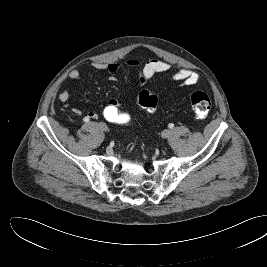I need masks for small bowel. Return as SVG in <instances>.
<instances>
[{"label": "small bowel", "mask_w": 267, "mask_h": 267, "mask_svg": "<svg viewBox=\"0 0 267 267\" xmlns=\"http://www.w3.org/2000/svg\"><path fill=\"white\" fill-rule=\"evenodd\" d=\"M125 66L136 68L139 71V75L136 79L138 85L145 84L148 80H150L153 76L159 73L166 72L170 69V64L166 61L153 59L147 62H139L137 60H130L128 61ZM96 69L99 70H106L110 75V80H116V74L122 68V65L116 63H108V64H96ZM69 78L79 81L81 79L80 72L78 70H71L68 74ZM200 75L191 70V69H180L179 71L172 74V79L176 82L181 83L185 86H191L198 82ZM70 98V92L67 90H63L58 93V99L64 103L66 107H68V100ZM112 103L120 106L121 103L112 98L109 100ZM73 114L80 115L81 111L77 108L72 109ZM89 119H96L98 117L97 113L94 111L88 112L87 116Z\"/></svg>", "instance_id": "obj_1"}]
</instances>
